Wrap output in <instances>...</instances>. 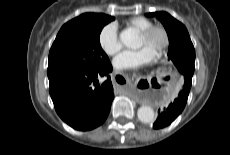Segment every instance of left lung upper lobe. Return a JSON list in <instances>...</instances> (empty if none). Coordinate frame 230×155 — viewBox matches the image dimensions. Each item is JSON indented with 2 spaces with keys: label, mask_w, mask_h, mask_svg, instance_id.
Wrapping results in <instances>:
<instances>
[{
  "label": "left lung upper lobe",
  "mask_w": 230,
  "mask_h": 155,
  "mask_svg": "<svg viewBox=\"0 0 230 155\" xmlns=\"http://www.w3.org/2000/svg\"><path fill=\"white\" fill-rule=\"evenodd\" d=\"M146 16H155L162 22L170 42L168 59L173 61L184 78H192L195 68V50L186 27L167 12H153Z\"/></svg>",
  "instance_id": "obj_1"
}]
</instances>
